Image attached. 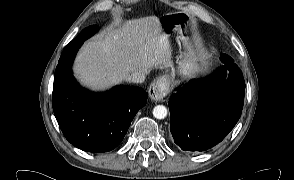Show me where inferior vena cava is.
Listing matches in <instances>:
<instances>
[{
  "label": "inferior vena cava",
  "mask_w": 294,
  "mask_h": 180,
  "mask_svg": "<svg viewBox=\"0 0 294 180\" xmlns=\"http://www.w3.org/2000/svg\"><path fill=\"white\" fill-rule=\"evenodd\" d=\"M146 74L147 72L144 71L133 72L127 77V81L133 83H143L145 81Z\"/></svg>",
  "instance_id": "1"
}]
</instances>
